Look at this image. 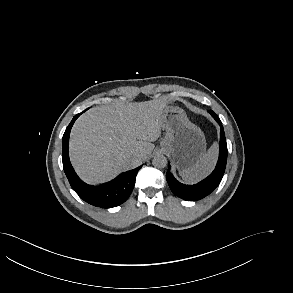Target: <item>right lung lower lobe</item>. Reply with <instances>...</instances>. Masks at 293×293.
<instances>
[{
  "label": "right lung lower lobe",
  "mask_w": 293,
  "mask_h": 293,
  "mask_svg": "<svg viewBox=\"0 0 293 293\" xmlns=\"http://www.w3.org/2000/svg\"><path fill=\"white\" fill-rule=\"evenodd\" d=\"M81 114V113H80ZM74 116L62 138V160L63 169L69 180L72 189L87 203L102 208H111L120 205L127 200L131 194L137 172L140 167H137L128 172L122 173L114 180L102 186H91L84 183L75 173L69 159V135L75 120L80 115Z\"/></svg>",
  "instance_id": "98d812e1"
}]
</instances>
